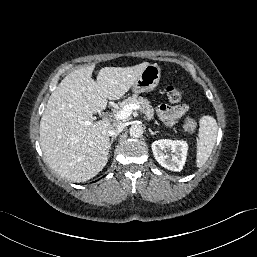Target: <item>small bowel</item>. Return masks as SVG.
I'll list each match as a JSON object with an SVG mask.
<instances>
[{"instance_id": "1", "label": "small bowel", "mask_w": 257, "mask_h": 257, "mask_svg": "<svg viewBox=\"0 0 257 257\" xmlns=\"http://www.w3.org/2000/svg\"><path fill=\"white\" fill-rule=\"evenodd\" d=\"M189 107L186 104H176L173 106L161 105L157 112L159 117L168 125L173 124L186 114Z\"/></svg>"}]
</instances>
